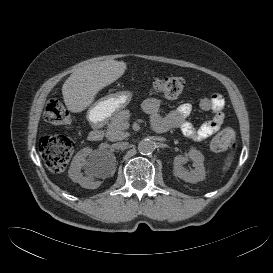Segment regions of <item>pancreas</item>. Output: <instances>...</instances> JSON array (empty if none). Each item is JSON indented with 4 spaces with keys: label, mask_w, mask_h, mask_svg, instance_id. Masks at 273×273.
<instances>
[{
    "label": "pancreas",
    "mask_w": 273,
    "mask_h": 273,
    "mask_svg": "<svg viewBox=\"0 0 273 273\" xmlns=\"http://www.w3.org/2000/svg\"><path fill=\"white\" fill-rule=\"evenodd\" d=\"M130 117L129 110H122L111 117V121L108 124L106 130V137L109 141H118L125 139L128 133L125 132L127 129V121Z\"/></svg>",
    "instance_id": "1"
}]
</instances>
